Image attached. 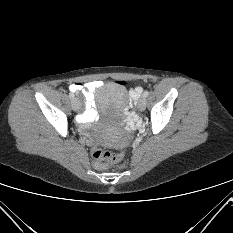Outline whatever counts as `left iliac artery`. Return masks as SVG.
Wrapping results in <instances>:
<instances>
[{
  "instance_id": "44dca946",
  "label": "left iliac artery",
  "mask_w": 233,
  "mask_h": 233,
  "mask_svg": "<svg viewBox=\"0 0 233 233\" xmlns=\"http://www.w3.org/2000/svg\"><path fill=\"white\" fill-rule=\"evenodd\" d=\"M148 95H149V91L145 90L144 93H143V96L146 98Z\"/></svg>"
}]
</instances>
